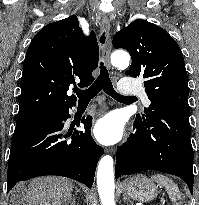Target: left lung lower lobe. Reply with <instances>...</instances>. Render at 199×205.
Instances as JSON below:
<instances>
[{"label":"left lung lower lobe","mask_w":199,"mask_h":205,"mask_svg":"<svg viewBox=\"0 0 199 205\" xmlns=\"http://www.w3.org/2000/svg\"><path fill=\"white\" fill-rule=\"evenodd\" d=\"M148 120H136L133 131L116 154L115 178L146 170L173 174L192 193L193 148L189 114L150 105Z\"/></svg>","instance_id":"left-lung-lower-lobe-1"}]
</instances>
